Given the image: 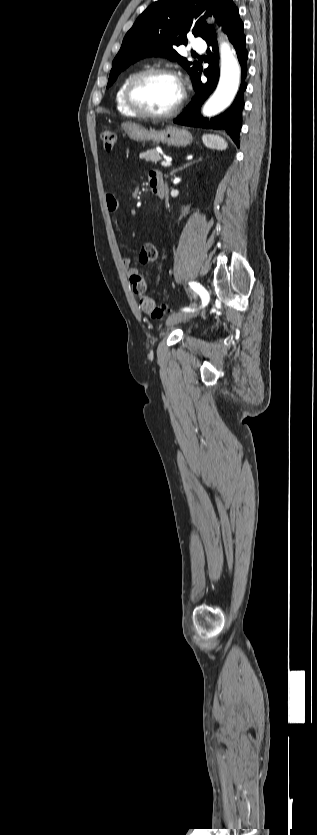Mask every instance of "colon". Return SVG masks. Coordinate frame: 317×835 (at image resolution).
<instances>
[{
	"mask_svg": "<svg viewBox=\"0 0 317 835\" xmlns=\"http://www.w3.org/2000/svg\"><path fill=\"white\" fill-rule=\"evenodd\" d=\"M101 140L103 143V147L106 151L110 152L113 150L116 142L117 136L111 130H103L101 132ZM158 256V251L155 246H151L149 250L148 258L150 260H155ZM130 283L133 289V292L139 298V306L141 310L151 316L152 318H161L164 316L165 309L162 306H159L155 303L154 299L150 296L146 295L147 290V280L144 274L140 272H136L130 276Z\"/></svg>",
	"mask_w": 317,
	"mask_h": 835,
	"instance_id": "5ec220e1",
	"label": "colon"
}]
</instances>
